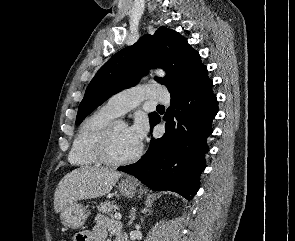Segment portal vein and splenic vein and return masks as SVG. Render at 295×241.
<instances>
[{"instance_id": "portal-vein-and-splenic-vein-1", "label": "portal vein and splenic vein", "mask_w": 295, "mask_h": 241, "mask_svg": "<svg viewBox=\"0 0 295 241\" xmlns=\"http://www.w3.org/2000/svg\"><path fill=\"white\" fill-rule=\"evenodd\" d=\"M115 218H116L117 220H121L122 215H121L120 213H115Z\"/></svg>"}]
</instances>
